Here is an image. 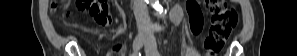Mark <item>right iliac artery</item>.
I'll use <instances>...</instances> for the list:
<instances>
[{
  "label": "right iliac artery",
  "mask_w": 297,
  "mask_h": 56,
  "mask_svg": "<svg viewBox=\"0 0 297 56\" xmlns=\"http://www.w3.org/2000/svg\"><path fill=\"white\" fill-rule=\"evenodd\" d=\"M137 55H138L137 53H133V54H132V56H137ZM139 56H140V54H139Z\"/></svg>",
  "instance_id": "82829eb1"
}]
</instances>
